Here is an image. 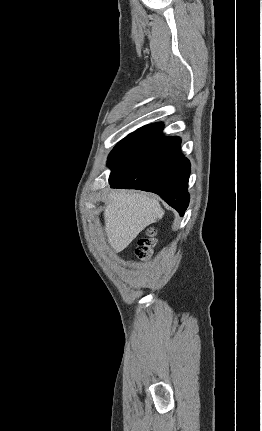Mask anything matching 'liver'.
Returning <instances> with one entry per match:
<instances>
[{
    "label": "liver",
    "instance_id": "obj_1",
    "mask_svg": "<svg viewBox=\"0 0 262 431\" xmlns=\"http://www.w3.org/2000/svg\"><path fill=\"white\" fill-rule=\"evenodd\" d=\"M164 214L154 197L132 191H112L104 207L105 232L110 246L117 253L122 251L146 226Z\"/></svg>",
    "mask_w": 262,
    "mask_h": 431
}]
</instances>
